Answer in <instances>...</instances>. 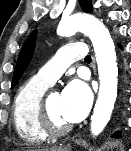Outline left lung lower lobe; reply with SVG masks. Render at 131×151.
<instances>
[{
	"instance_id": "obj_1",
	"label": "left lung lower lobe",
	"mask_w": 131,
	"mask_h": 151,
	"mask_svg": "<svg viewBox=\"0 0 131 151\" xmlns=\"http://www.w3.org/2000/svg\"><path fill=\"white\" fill-rule=\"evenodd\" d=\"M119 46L121 47V45L119 44ZM114 138H120L121 137V132L117 131L114 135Z\"/></svg>"
}]
</instances>
